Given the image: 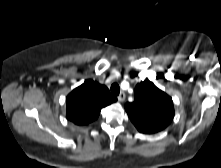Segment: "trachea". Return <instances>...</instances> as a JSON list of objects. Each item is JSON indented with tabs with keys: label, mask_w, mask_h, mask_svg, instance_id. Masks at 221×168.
<instances>
[{
	"label": "trachea",
	"mask_w": 221,
	"mask_h": 168,
	"mask_svg": "<svg viewBox=\"0 0 221 168\" xmlns=\"http://www.w3.org/2000/svg\"><path fill=\"white\" fill-rule=\"evenodd\" d=\"M111 92H112L113 94H115V95H119V93H120V87H119V85H118L117 83H113V84L111 85Z\"/></svg>",
	"instance_id": "3493384b"
}]
</instances>
